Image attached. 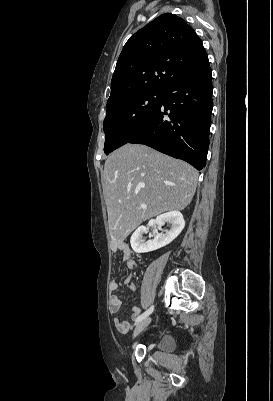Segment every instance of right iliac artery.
Masks as SVG:
<instances>
[{
    "mask_svg": "<svg viewBox=\"0 0 273 401\" xmlns=\"http://www.w3.org/2000/svg\"><path fill=\"white\" fill-rule=\"evenodd\" d=\"M154 310V306H151L147 311H145L143 314H141L140 316H138L135 320V322H140L143 319H145L147 316H149Z\"/></svg>",
    "mask_w": 273,
    "mask_h": 401,
    "instance_id": "obj_1",
    "label": "right iliac artery"
}]
</instances>
